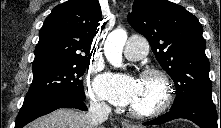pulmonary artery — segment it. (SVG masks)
Instances as JSON below:
<instances>
[{
    "label": "pulmonary artery",
    "mask_w": 221,
    "mask_h": 128,
    "mask_svg": "<svg viewBox=\"0 0 221 128\" xmlns=\"http://www.w3.org/2000/svg\"><path fill=\"white\" fill-rule=\"evenodd\" d=\"M148 51V42L139 36H132L126 42L124 57L127 60H136L144 56Z\"/></svg>",
    "instance_id": "e3ab8cb5"
}]
</instances>
